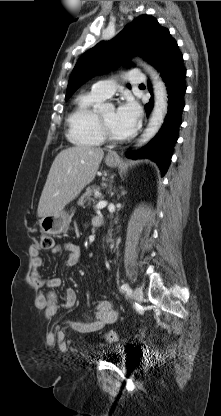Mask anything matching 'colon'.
Wrapping results in <instances>:
<instances>
[{"instance_id": "obj_1", "label": "colon", "mask_w": 221, "mask_h": 416, "mask_svg": "<svg viewBox=\"0 0 221 416\" xmlns=\"http://www.w3.org/2000/svg\"><path fill=\"white\" fill-rule=\"evenodd\" d=\"M54 246V239L51 235L43 234L40 238V248L52 249ZM105 340L108 342H115L117 340V334L114 331H108L105 334Z\"/></svg>"}]
</instances>
